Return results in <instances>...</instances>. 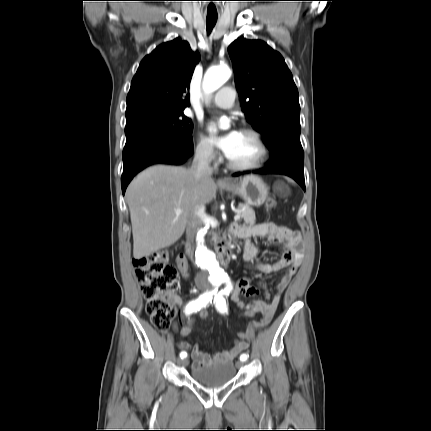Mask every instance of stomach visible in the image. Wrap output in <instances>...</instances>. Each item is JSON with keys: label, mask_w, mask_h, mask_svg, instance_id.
I'll use <instances>...</instances> for the list:
<instances>
[{"label": "stomach", "mask_w": 431, "mask_h": 431, "mask_svg": "<svg viewBox=\"0 0 431 431\" xmlns=\"http://www.w3.org/2000/svg\"><path fill=\"white\" fill-rule=\"evenodd\" d=\"M222 188L239 195L249 206H261L268 195L267 186L256 176H246L239 181L234 180L223 185Z\"/></svg>", "instance_id": "0dacf381"}]
</instances>
